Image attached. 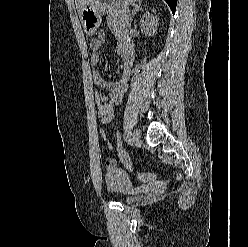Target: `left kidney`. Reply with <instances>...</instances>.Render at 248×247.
Masks as SVG:
<instances>
[{
  "label": "left kidney",
  "instance_id": "obj_1",
  "mask_svg": "<svg viewBox=\"0 0 248 247\" xmlns=\"http://www.w3.org/2000/svg\"><path fill=\"white\" fill-rule=\"evenodd\" d=\"M152 12L155 13L156 11L153 9ZM157 25H158L157 16H154L150 12H146L140 20L141 32L146 36L154 35L157 30Z\"/></svg>",
  "mask_w": 248,
  "mask_h": 247
}]
</instances>
